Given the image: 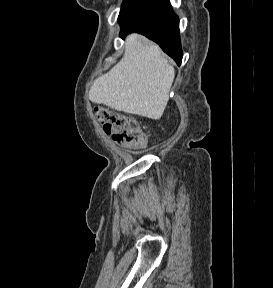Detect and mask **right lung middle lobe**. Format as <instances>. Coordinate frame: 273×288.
<instances>
[{
	"label": "right lung middle lobe",
	"instance_id": "1",
	"mask_svg": "<svg viewBox=\"0 0 273 288\" xmlns=\"http://www.w3.org/2000/svg\"><path fill=\"white\" fill-rule=\"evenodd\" d=\"M138 1L139 0H124L118 17L119 23L126 17Z\"/></svg>",
	"mask_w": 273,
	"mask_h": 288
}]
</instances>
